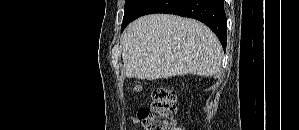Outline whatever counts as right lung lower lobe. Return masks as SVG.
I'll return each mask as SVG.
<instances>
[{
	"instance_id": "1",
	"label": "right lung lower lobe",
	"mask_w": 299,
	"mask_h": 130,
	"mask_svg": "<svg viewBox=\"0 0 299 130\" xmlns=\"http://www.w3.org/2000/svg\"><path fill=\"white\" fill-rule=\"evenodd\" d=\"M150 13H168L197 19L217 35L223 49H226L227 20L223 0H147L132 21Z\"/></svg>"
}]
</instances>
